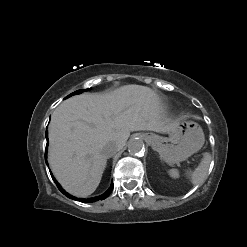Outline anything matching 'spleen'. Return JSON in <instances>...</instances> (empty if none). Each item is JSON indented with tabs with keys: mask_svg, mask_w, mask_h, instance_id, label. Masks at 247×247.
Returning <instances> with one entry per match:
<instances>
[{
	"mask_svg": "<svg viewBox=\"0 0 247 247\" xmlns=\"http://www.w3.org/2000/svg\"><path fill=\"white\" fill-rule=\"evenodd\" d=\"M211 159H212L211 154L208 152H205L203 154V158L200 164L198 165V167L194 171L188 172V176L193 185H199L202 182H204ZM168 173L170 177L174 179L179 178V171L177 169H170Z\"/></svg>",
	"mask_w": 247,
	"mask_h": 247,
	"instance_id": "spleen-1",
	"label": "spleen"
}]
</instances>
